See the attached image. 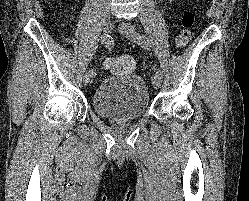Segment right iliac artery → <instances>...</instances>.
Here are the masks:
<instances>
[{
    "mask_svg": "<svg viewBox=\"0 0 249 201\" xmlns=\"http://www.w3.org/2000/svg\"><path fill=\"white\" fill-rule=\"evenodd\" d=\"M101 42H102V44H103L106 48H108V49H110L111 46H112V41H111V38L109 37L108 34H103V35L101 36ZM89 73H90L91 77H94V76L96 75V71L93 70V69H91V70L89 71Z\"/></svg>",
    "mask_w": 249,
    "mask_h": 201,
    "instance_id": "obj_1",
    "label": "right iliac artery"
}]
</instances>
